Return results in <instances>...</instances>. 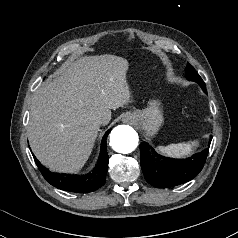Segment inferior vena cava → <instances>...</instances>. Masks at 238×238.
<instances>
[{"mask_svg":"<svg viewBox=\"0 0 238 238\" xmlns=\"http://www.w3.org/2000/svg\"><path fill=\"white\" fill-rule=\"evenodd\" d=\"M97 123H98V125H103V124H106L107 121H106L105 119H99V120L97 121Z\"/></svg>","mask_w":238,"mask_h":238,"instance_id":"1","label":"inferior vena cava"}]
</instances>
